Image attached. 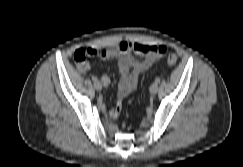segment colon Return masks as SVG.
Listing matches in <instances>:
<instances>
[{"label": "colon", "instance_id": "colon-1", "mask_svg": "<svg viewBox=\"0 0 243 167\" xmlns=\"http://www.w3.org/2000/svg\"><path fill=\"white\" fill-rule=\"evenodd\" d=\"M90 48H79L74 53V60L79 69H84L86 66V59L90 56ZM167 62L170 66H174L177 63V57L173 54L169 55Z\"/></svg>", "mask_w": 243, "mask_h": 167}]
</instances>
